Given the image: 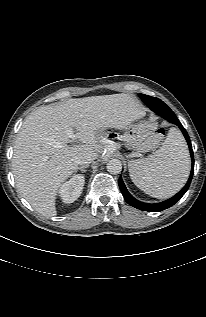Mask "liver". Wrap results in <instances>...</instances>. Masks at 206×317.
<instances>
[{
    "label": "liver",
    "mask_w": 206,
    "mask_h": 317,
    "mask_svg": "<svg viewBox=\"0 0 206 317\" xmlns=\"http://www.w3.org/2000/svg\"><path fill=\"white\" fill-rule=\"evenodd\" d=\"M145 114L124 93L39 107L26 117L15 140L12 170L18 191L40 214L55 216L58 189L77 170L76 158L101 152L98 133L108 127L127 129ZM69 129H75L80 144L68 145L73 142Z\"/></svg>",
    "instance_id": "1"
}]
</instances>
